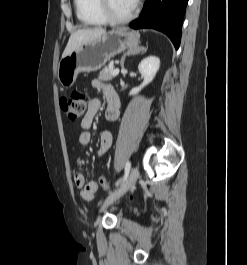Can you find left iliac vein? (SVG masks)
Returning <instances> with one entry per match:
<instances>
[{
  "instance_id": "4c4485c4",
  "label": "left iliac vein",
  "mask_w": 247,
  "mask_h": 265,
  "mask_svg": "<svg viewBox=\"0 0 247 265\" xmlns=\"http://www.w3.org/2000/svg\"><path fill=\"white\" fill-rule=\"evenodd\" d=\"M138 176H139L138 169L132 168L126 182L122 185V187L105 199L101 207V211L105 210L110 204H112L114 201H116L121 196H123L136 183Z\"/></svg>"
}]
</instances>
